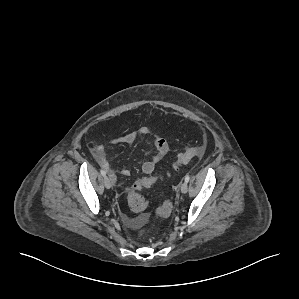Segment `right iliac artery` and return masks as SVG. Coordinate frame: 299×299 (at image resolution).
Returning <instances> with one entry per match:
<instances>
[{
    "instance_id": "82829eb1",
    "label": "right iliac artery",
    "mask_w": 299,
    "mask_h": 299,
    "mask_svg": "<svg viewBox=\"0 0 299 299\" xmlns=\"http://www.w3.org/2000/svg\"><path fill=\"white\" fill-rule=\"evenodd\" d=\"M100 173L102 176H104V177L106 176V172L103 169L100 170Z\"/></svg>"
}]
</instances>
